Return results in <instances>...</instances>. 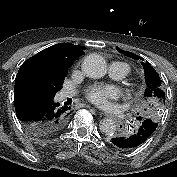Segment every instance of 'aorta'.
<instances>
[{
    "mask_svg": "<svg viewBox=\"0 0 177 177\" xmlns=\"http://www.w3.org/2000/svg\"><path fill=\"white\" fill-rule=\"evenodd\" d=\"M82 71L90 78H101L106 74V61L101 55L89 54L82 62ZM100 130L105 135L111 136L116 131V125L112 119L107 118L102 122Z\"/></svg>",
    "mask_w": 177,
    "mask_h": 177,
    "instance_id": "obj_1",
    "label": "aorta"
}]
</instances>
